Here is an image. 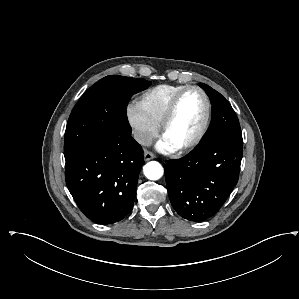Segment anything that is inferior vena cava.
<instances>
[{
	"instance_id": "602c4592",
	"label": "inferior vena cava",
	"mask_w": 299,
	"mask_h": 299,
	"mask_svg": "<svg viewBox=\"0 0 299 299\" xmlns=\"http://www.w3.org/2000/svg\"><path fill=\"white\" fill-rule=\"evenodd\" d=\"M133 137L141 145L149 146L152 144V137L146 132L135 131Z\"/></svg>"
}]
</instances>
